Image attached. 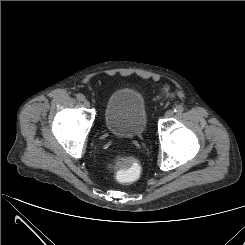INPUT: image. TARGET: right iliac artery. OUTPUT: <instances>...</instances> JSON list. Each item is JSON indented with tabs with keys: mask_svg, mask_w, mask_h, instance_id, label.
<instances>
[{
	"mask_svg": "<svg viewBox=\"0 0 245 245\" xmlns=\"http://www.w3.org/2000/svg\"><path fill=\"white\" fill-rule=\"evenodd\" d=\"M77 100L84 101L85 100V96L83 94H77Z\"/></svg>",
	"mask_w": 245,
	"mask_h": 245,
	"instance_id": "obj_1",
	"label": "right iliac artery"
}]
</instances>
